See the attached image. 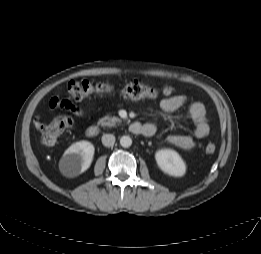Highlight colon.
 Segmentation results:
<instances>
[{
    "label": "colon",
    "instance_id": "colon-1",
    "mask_svg": "<svg viewBox=\"0 0 261 254\" xmlns=\"http://www.w3.org/2000/svg\"><path fill=\"white\" fill-rule=\"evenodd\" d=\"M114 92H119L124 98L131 100L156 99L161 96H171L173 94V88L166 86L158 90L138 81H132L117 88L109 83H92L88 80L80 79L68 84L66 88V100L59 101V99L54 98L51 100V104L54 108H58L57 106L59 103L61 105L72 104L74 102L82 101L93 94H112ZM72 126L73 119L69 115L58 116L49 124L41 125L40 130L43 142L47 145L54 143L61 134L69 130ZM205 151L208 154L215 153V144L208 143L205 146Z\"/></svg>",
    "mask_w": 261,
    "mask_h": 254
}]
</instances>
